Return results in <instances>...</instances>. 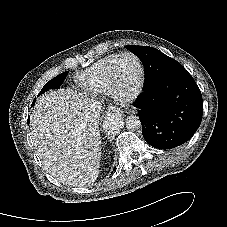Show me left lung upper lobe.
<instances>
[{
  "label": "left lung upper lobe",
  "instance_id": "1",
  "mask_svg": "<svg viewBox=\"0 0 227 227\" xmlns=\"http://www.w3.org/2000/svg\"><path fill=\"white\" fill-rule=\"evenodd\" d=\"M126 49L138 56L143 63L146 70V86L167 74L185 69L179 62L153 47L127 45Z\"/></svg>",
  "mask_w": 227,
  "mask_h": 227
}]
</instances>
